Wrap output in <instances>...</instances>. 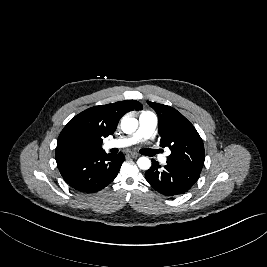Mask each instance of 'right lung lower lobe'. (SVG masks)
<instances>
[{"label": "right lung lower lobe", "instance_id": "98d812e1", "mask_svg": "<svg viewBox=\"0 0 267 267\" xmlns=\"http://www.w3.org/2000/svg\"><path fill=\"white\" fill-rule=\"evenodd\" d=\"M124 159L121 152L107 155L103 150L56 156L64 180L75 190L85 193L97 192L110 184Z\"/></svg>", "mask_w": 267, "mask_h": 267}]
</instances>
